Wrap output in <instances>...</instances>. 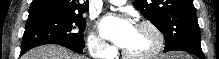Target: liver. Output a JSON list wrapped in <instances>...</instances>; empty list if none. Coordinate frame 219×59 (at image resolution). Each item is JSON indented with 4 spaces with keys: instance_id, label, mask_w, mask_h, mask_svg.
Masks as SVG:
<instances>
[{
    "instance_id": "1",
    "label": "liver",
    "mask_w": 219,
    "mask_h": 59,
    "mask_svg": "<svg viewBox=\"0 0 219 59\" xmlns=\"http://www.w3.org/2000/svg\"><path fill=\"white\" fill-rule=\"evenodd\" d=\"M21 59H87L59 45L36 47L22 56Z\"/></svg>"
}]
</instances>
